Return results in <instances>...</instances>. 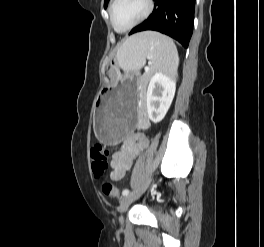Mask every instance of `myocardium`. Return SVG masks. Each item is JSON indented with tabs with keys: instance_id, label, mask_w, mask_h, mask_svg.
<instances>
[{
	"instance_id": "obj_1",
	"label": "myocardium",
	"mask_w": 264,
	"mask_h": 247,
	"mask_svg": "<svg viewBox=\"0 0 264 247\" xmlns=\"http://www.w3.org/2000/svg\"><path fill=\"white\" fill-rule=\"evenodd\" d=\"M117 2H118V0H112V3L109 7V19H110V23H111L112 27L117 32H120V33L128 32V31L132 30L133 28H135L136 26L143 23L151 15L153 8H154L153 0H146V10H145L144 14L136 22H134L130 26H128L126 28H119L115 24V21H114V8H115V5Z\"/></svg>"
}]
</instances>
